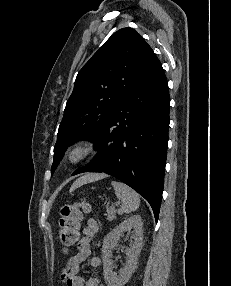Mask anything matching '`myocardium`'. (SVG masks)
<instances>
[{"mask_svg":"<svg viewBox=\"0 0 231 286\" xmlns=\"http://www.w3.org/2000/svg\"><path fill=\"white\" fill-rule=\"evenodd\" d=\"M97 145L93 139L74 142L65 152L64 160L70 166H76L96 153Z\"/></svg>","mask_w":231,"mask_h":286,"instance_id":"myocardium-1","label":"myocardium"}]
</instances>
